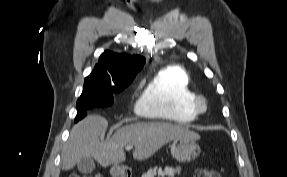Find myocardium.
I'll list each match as a JSON object with an SVG mask.
<instances>
[{
	"label": "myocardium",
	"instance_id": "myocardium-1",
	"mask_svg": "<svg viewBox=\"0 0 287 177\" xmlns=\"http://www.w3.org/2000/svg\"><path fill=\"white\" fill-rule=\"evenodd\" d=\"M194 108L198 113L207 111L208 109L207 99L204 96H196L194 99Z\"/></svg>",
	"mask_w": 287,
	"mask_h": 177
}]
</instances>
